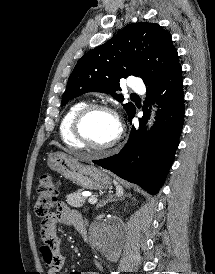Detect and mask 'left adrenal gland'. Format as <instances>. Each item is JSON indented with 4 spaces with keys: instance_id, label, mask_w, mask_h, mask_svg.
I'll list each match as a JSON object with an SVG mask.
<instances>
[{
    "instance_id": "left-adrenal-gland-1",
    "label": "left adrenal gland",
    "mask_w": 215,
    "mask_h": 274,
    "mask_svg": "<svg viewBox=\"0 0 215 274\" xmlns=\"http://www.w3.org/2000/svg\"><path fill=\"white\" fill-rule=\"evenodd\" d=\"M116 200H117V199L114 198L113 195H108V196L106 197V199H103L102 201H100V202L97 204L96 210H98V209L101 208V207H104L107 203L113 202V201H116Z\"/></svg>"
}]
</instances>
